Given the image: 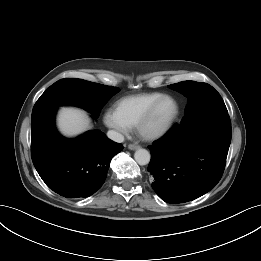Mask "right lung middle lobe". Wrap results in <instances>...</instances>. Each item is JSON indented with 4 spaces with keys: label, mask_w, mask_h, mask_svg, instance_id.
I'll return each mask as SVG.
<instances>
[{
    "label": "right lung middle lobe",
    "mask_w": 261,
    "mask_h": 261,
    "mask_svg": "<svg viewBox=\"0 0 261 261\" xmlns=\"http://www.w3.org/2000/svg\"><path fill=\"white\" fill-rule=\"evenodd\" d=\"M119 88L81 79H61L45 90L34 105L32 116L40 111L62 105H74L89 111L95 118L104 104Z\"/></svg>",
    "instance_id": "dd1d6c3e"
}]
</instances>
